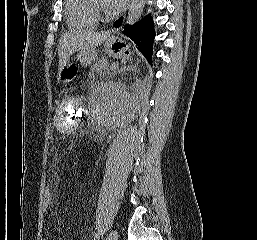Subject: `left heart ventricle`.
<instances>
[{"label": "left heart ventricle", "mask_w": 257, "mask_h": 240, "mask_svg": "<svg viewBox=\"0 0 257 240\" xmlns=\"http://www.w3.org/2000/svg\"><path fill=\"white\" fill-rule=\"evenodd\" d=\"M101 1V3L103 4V5H107V2H106V0H100Z\"/></svg>", "instance_id": "b2bd125f"}]
</instances>
